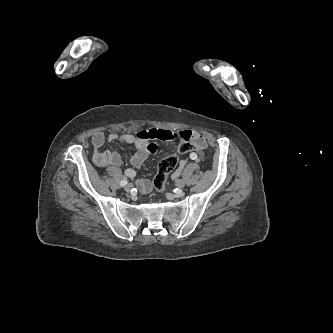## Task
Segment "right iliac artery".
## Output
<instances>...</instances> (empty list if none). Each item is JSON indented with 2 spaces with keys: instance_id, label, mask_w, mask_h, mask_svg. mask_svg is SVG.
Wrapping results in <instances>:
<instances>
[{
  "instance_id": "1",
  "label": "right iliac artery",
  "mask_w": 333,
  "mask_h": 333,
  "mask_svg": "<svg viewBox=\"0 0 333 333\" xmlns=\"http://www.w3.org/2000/svg\"><path fill=\"white\" fill-rule=\"evenodd\" d=\"M127 180L126 179H124V180H122L121 182H120V185L123 187V186H126V184H127Z\"/></svg>"
}]
</instances>
